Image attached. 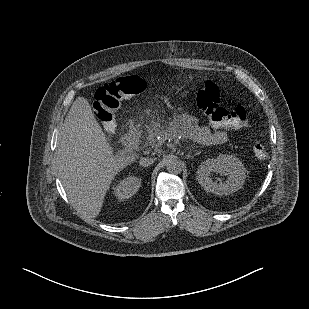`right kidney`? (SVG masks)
Returning a JSON list of instances; mask_svg holds the SVG:
<instances>
[{
    "instance_id": "ca27d5eb",
    "label": "right kidney",
    "mask_w": 309,
    "mask_h": 309,
    "mask_svg": "<svg viewBox=\"0 0 309 309\" xmlns=\"http://www.w3.org/2000/svg\"><path fill=\"white\" fill-rule=\"evenodd\" d=\"M141 179L136 176H127L123 179H120L113 185V194L119 200H125L132 197L140 188Z\"/></svg>"
}]
</instances>
